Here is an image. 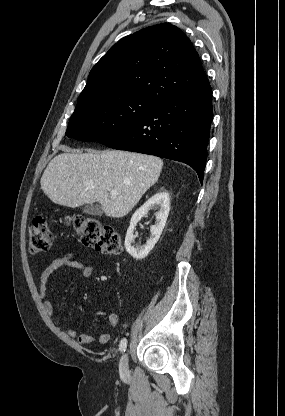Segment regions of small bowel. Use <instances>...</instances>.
<instances>
[{
	"label": "small bowel",
	"mask_w": 285,
	"mask_h": 416,
	"mask_svg": "<svg viewBox=\"0 0 285 416\" xmlns=\"http://www.w3.org/2000/svg\"><path fill=\"white\" fill-rule=\"evenodd\" d=\"M60 268L77 270L81 276L85 278L90 277L93 273V267L91 265L79 262L73 259L70 255L56 258L42 271L39 283V297L42 301L45 313L50 318L54 317V308L52 302L47 298V292L49 290V284L52 275L56 270ZM75 290L76 287L70 289L68 295L73 294ZM96 316H107V326L110 329L115 328L118 323V317L115 314L106 315L105 312L99 311L96 313ZM65 333L68 337L76 339L80 345H88L94 342L99 344H106L110 339V335L108 333H102L97 337H93L85 333L82 327L68 328L65 330Z\"/></svg>",
	"instance_id": "small-bowel-1"
}]
</instances>
